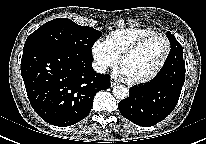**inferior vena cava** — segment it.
Wrapping results in <instances>:
<instances>
[{"label": "inferior vena cava", "mask_w": 206, "mask_h": 144, "mask_svg": "<svg viewBox=\"0 0 206 144\" xmlns=\"http://www.w3.org/2000/svg\"><path fill=\"white\" fill-rule=\"evenodd\" d=\"M93 69L97 72V73H101L104 74L106 72V66H104L103 64L94 62L92 64Z\"/></svg>", "instance_id": "obj_1"}]
</instances>
